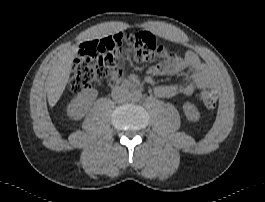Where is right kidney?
<instances>
[{
    "mask_svg": "<svg viewBox=\"0 0 265 202\" xmlns=\"http://www.w3.org/2000/svg\"><path fill=\"white\" fill-rule=\"evenodd\" d=\"M98 91L87 89L80 92L68 105L67 114L74 120L82 119L97 98Z\"/></svg>",
    "mask_w": 265,
    "mask_h": 202,
    "instance_id": "1",
    "label": "right kidney"
}]
</instances>
